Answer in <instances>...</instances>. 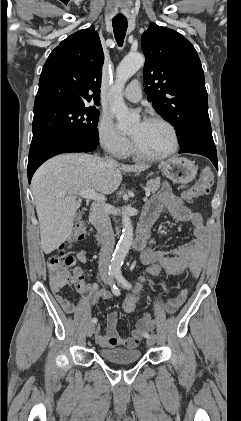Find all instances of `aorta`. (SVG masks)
I'll use <instances>...</instances> for the list:
<instances>
[{
    "label": "aorta",
    "instance_id": "aorta-1",
    "mask_svg": "<svg viewBox=\"0 0 241 421\" xmlns=\"http://www.w3.org/2000/svg\"><path fill=\"white\" fill-rule=\"evenodd\" d=\"M144 56L140 53L127 55L116 69V80L112 87L113 100L110 105L111 112L117 118V126L121 130L128 129L133 123L139 120V116L129 111L126 106L122 91L125 83L132 77L143 65ZM133 242V225L130 216L122 212V235L116 249L113 253L112 266L120 267Z\"/></svg>",
    "mask_w": 241,
    "mask_h": 421
}]
</instances>
